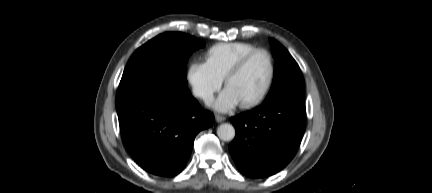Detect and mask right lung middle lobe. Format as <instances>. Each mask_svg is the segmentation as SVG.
<instances>
[{
	"label": "right lung middle lobe",
	"mask_w": 432,
	"mask_h": 193,
	"mask_svg": "<svg viewBox=\"0 0 432 193\" xmlns=\"http://www.w3.org/2000/svg\"><path fill=\"white\" fill-rule=\"evenodd\" d=\"M205 43L180 32H167L138 48L128 61L119 94L143 85H157L174 93H189L186 64Z\"/></svg>",
	"instance_id": "right-lung-middle-lobe-1"
}]
</instances>
